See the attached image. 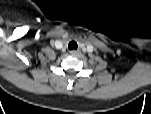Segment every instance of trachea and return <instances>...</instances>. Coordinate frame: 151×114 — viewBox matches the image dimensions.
<instances>
[{"mask_svg": "<svg viewBox=\"0 0 151 114\" xmlns=\"http://www.w3.org/2000/svg\"><path fill=\"white\" fill-rule=\"evenodd\" d=\"M78 47L77 43L75 41H70L68 44V49L69 50H76Z\"/></svg>", "mask_w": 151, "mask_h": 114, "instance_id": "trachea-1", "label": "trachea"}]
</instances>
